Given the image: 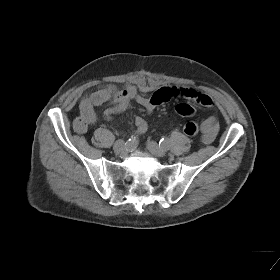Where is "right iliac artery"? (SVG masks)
I'll use <instances>...</instances> for the list:
<instances>
[{"label":"right iliac artery","mask_w":280,"mask_h":280,"mask_svg":"<svg viewBox=\"0 0 280 280\" xmlns=\"http://www.w3.org/2000/svg\"><path fill=\"white\" fill-rule=\"evenodd\" d=\"M139 143L138 137L135 135H132L125 143V149L127 151H133L137 148Z\"/></svg>","instance_id":"82829eb1"}]
</instances>
